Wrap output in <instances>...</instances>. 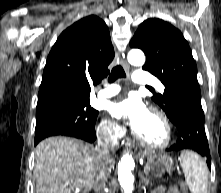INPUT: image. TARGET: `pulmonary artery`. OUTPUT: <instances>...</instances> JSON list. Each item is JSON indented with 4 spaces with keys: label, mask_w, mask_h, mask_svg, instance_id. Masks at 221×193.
I'll use <instances>...</instances> for the list:
<instances>
[{
    "label": "pulmonary artery",
    "mask_w": 221,
    "mask_h": 193,
    "mask_svg": "<svg viewBox=\"0 0 221 193\" xmlns=\"http://www.w3.org/2000/svg\"><path fill=\"white\" fill-rule=\"evenodd\" d=\"M133 80L137 85L155 87L158 90H163L164 86L155 76L151 75L148 71L137 70L133 75ZM120 87L116 84H105L98 92L99 98H107L117 94Z\"/></svg>",
    "instance_id": "e3ab8cb5"
}]
</instances>
